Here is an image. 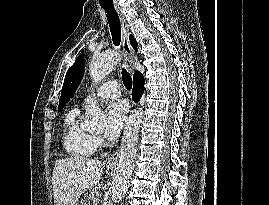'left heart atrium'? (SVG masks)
<instances>
[{"mask_svg": "<svg viewBox=\"0 0 269 205\" xmlns=\"http://www.w3.org/2000/svg\"><path fill=\"white\" fill-rule=\"evenodd\" d=\"M127 113L128 105L125 101L119 100L109 104L104 131L107 138L113 140L119 136L126 120Z\"/></svg>", "mask_w": 269, "mask_h": 205, "instance_id": "1", "label": "left heart atrium"}]
</instances>
